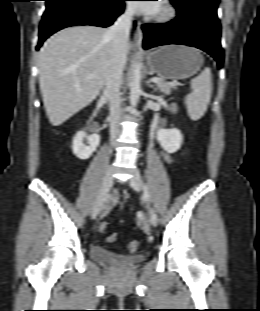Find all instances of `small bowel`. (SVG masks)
<instances>
[{"label":"small bowel","instance_id":"c3829d8e","mask_svg":"<svg viewBox=\"0 0 260 311\" xmlns=\"http://www.w3.org/2000/svg\"><path fill=\"white\" fill-rule=\"evenodd\" d=\"M172 111H175L176 108L174 105L171 106ZM162 158L165 160V162L167 163H172L174 158L173 155L167 151H162L161 152ZM117 203V192H113L112 195L109 197V199L107 200V204H106V210L112 208L113 206H115Z\"/></svg>","mask_w":260,"mask_h":311}]
</instances>
